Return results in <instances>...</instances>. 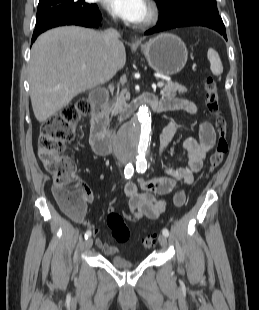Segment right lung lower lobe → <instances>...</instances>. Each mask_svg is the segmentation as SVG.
<instances>
[{"instance_id":"obj_1","label":"right lung lower lobe","mask_w":259,"mask_h":310,"mask_svg":"<svg viewBox=\"0 0 259 310\" xmlns=\"http://www.w3.org/2000/svg\"><path fill=\"white\" fill-rule=\"evenodd\" d=\"M102 16L98 10V7L91 12L78 16V17H63L57 16L53 17L43 24L35 27L31 43H33L39 34L57 26L63 25H80L85 27H98L101 22Z\"/></svg>"}]
</instances>
